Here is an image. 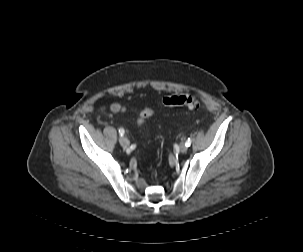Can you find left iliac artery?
Here are the masks:
<instances>
[{"label": "left iliac artery", "mask_w": 303, "mask_h": 252, "mask_svg": "<svg viewBox=\"0 0 303 252\" xmlns=\"http://www.w3.org/2000/svg\"><path fill=\"white\" fill-rule=\"evenodd\" d=\"M185 144H186L187 147L190 146L191 145V139L188 138L187 141L185 142Z\"/></svg>", "instance_id": "left-iliac-artery-1"}]
</instances>
